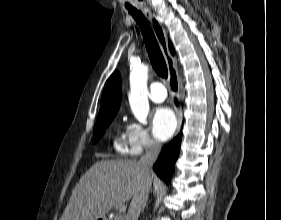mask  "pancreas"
Here are the masks:
<instances>
[{"instance_id":"obj_1","label":"pancreas","mask_w":281,"mask_h":220,"mask_svg":"<svg viewBox=\"0 0 281 220\" xmlns=\"http://www.w3.org/2000/svg\"><path fill=\"white\" fill-rule=\"evenodd\" d=\"M114 220H124L122 215H118Z\"/></svg>"}]
</instances>
